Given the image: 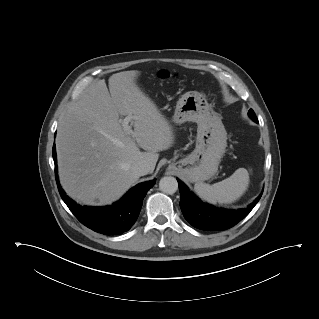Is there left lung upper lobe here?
Segmentation results:
<instances>
[{
    "instance_id": "left-lung-upper-lobe-1",
    "label": "left lung upper lobe",
    "mask_w": 319,
    "mask_h": 319,
    "mask_svg": "<svg viewBox=\"0 0 319 319\" xmlns=\"http://www.w3.org/2000/svg\"><path fill=\"white\" fill-rule=\"evenodd\" d=\"M248 114H249L250 118H252L254 121L257 120V117L252 109L249 110Z\"/></svg>"
}]
</instances>
